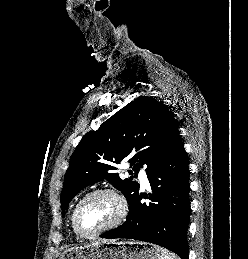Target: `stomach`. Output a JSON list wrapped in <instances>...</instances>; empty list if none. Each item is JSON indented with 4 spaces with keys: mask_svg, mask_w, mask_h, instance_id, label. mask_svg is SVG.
I'll list each match as a JSON object with an SVG mask.
<instances>
[{
    "mask_svg": "<svg viewBox=\"0 0 248 259\" xmlns=\"http://www.w3.org/2000/svg\"><path fill=\"white\" fill-rule=\"evenodd\" d=\"M160 249L137 241L100 242L70 248L59 259H160Z\"/></svg>",
    "mask_w": 248,
    "mask_h": 259,
    "instance_id": "1",
    "label": "stomach"
}]
</instances>
